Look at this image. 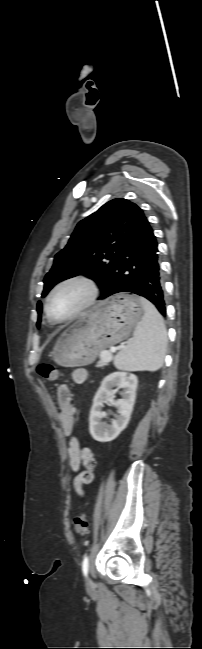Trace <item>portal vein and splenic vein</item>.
<instances>
[{
  "instance_id": "obj_1",
  "label": "portal vein and splenic vein",
  "mask_w": 202,
  "mask_h": 649,
  "mask_svg": "<svg viewBox=\"0 0 202 649\" xmlns=\"http://www.w3.org/2000/svg\"><path fill=\"white\" fill-rule=\"evenodd\" d=\"M111 351H116L115 348H111ZM100 358L104 362H110L112 360V354L107 353V352H102L100 355Z\"/></svg>"
}]
</instances>
